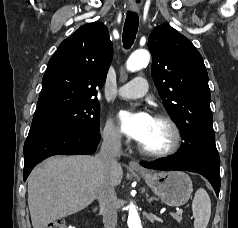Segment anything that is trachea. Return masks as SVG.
I'll return each mask as SVG.
<instances>
[{"label": "trachea", "instance_id": "trachea-1", "mask_svg": "<svg viewBox=\"0 0 238 228\" xmlns=\"http://www.w3.org/2000/svg\"><path fill=\"white\" fill-rule=\"evenodd\" d=\"M138 15L129 11L126 16V20L123 28V44L126 49H129L136 38L138 30Z\"/></svg>", "mask_w": 238, "mask_h": 228}]
</instances>
